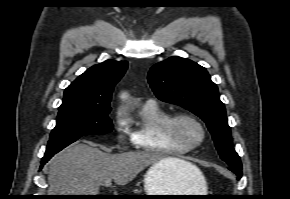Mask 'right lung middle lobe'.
<instances>
[{
	"label": "right lung middle lobe",
	"mask_w": 290,
	"mask_h": 199,
	"mask_svg": "<svg viewBox=\"0 0 290 199\" xmlns=\"http://www.w3.org/2000/svg\"><path fill=\"white\" fill-rule=\"evenodd\" d=\"M110 110L109 105L59 108L45 155L56 154L82 136L110 133L113 129Z\"/></svg>",
	"instance_id": "right-lung-middle-lobe-1"
}]
</instances>
